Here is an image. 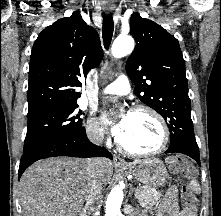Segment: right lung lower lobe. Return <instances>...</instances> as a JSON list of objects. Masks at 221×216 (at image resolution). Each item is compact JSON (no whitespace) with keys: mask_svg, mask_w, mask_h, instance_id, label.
<instances>
[{"mask_svg":"<svg viewBox=\"0 0 221 216\" xmlns=\"http://www.w3.org/2000/svg\"><path fill=\"white\" fill-rule=\"evenodd\" d=\"M55 156L107 157L112 159L111 153L105 147L94 145L88 140L86 131L83 128L77 133L53 139L23 153L20 160L18 178L35 161Z\"/></svg>","mask_w":221,"mask_h":216,"instance_id":"98d812e1","label":"right lung lower lobe"}]
</instances>
